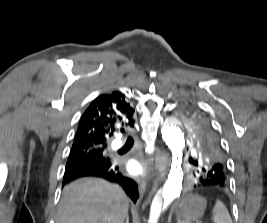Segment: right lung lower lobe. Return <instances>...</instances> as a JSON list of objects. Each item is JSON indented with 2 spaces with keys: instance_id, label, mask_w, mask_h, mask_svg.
Listing matches in <instances>:
<instances>
[{
  "instance_id": "right-lung-lower-lobe-1",
  "label": "right lung lower lobe",
  "mask_w": 267,
  "mask_h": 223,
  "mask_svg": "<svg viewBox=\"0 0 267 223\" xmlns=\"http://www.w3.org/2000/svg\"><path fill=\"white\" fill-rule=\"evenodd\" d=\"M81 177H98L110 182L119 183L134 203H136L139 197L138 185L136 182L130 178L124 177L119 167L114 165L111 161L108 163L92 161L65 170L63 185Z\"/></svg>"
}]
</instances>
